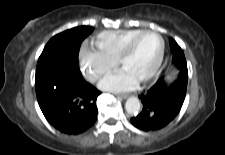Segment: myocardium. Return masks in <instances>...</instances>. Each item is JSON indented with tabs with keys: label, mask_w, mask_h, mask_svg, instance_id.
<instances>
[{
	"label": "myocardium",
	"mask_w": 225,
	"mask_h": 155,
	"mask_svg": "<svg viewBox=\"0 0 225 155\" xmlns=\"http://www.w3.org/2000/svg\"><path fill=\"white\" fill-rule=\"evenodd\" d=\"M146 34H154L156 35L159 40H160V51H159V55L157 58V61L154 65V67L152 68V70L141 80L142 83H146L148 81H150L151 79H153L155 77V75L158 73L163 60H164V55H165V41L163 36L152 29H145V30H141L140 32H138L137 34H135L134 36H132L127 43L124 45V47L122 48L119 56H118V63L120 65L123 64L124 60L129 56V54L132 52L136 42L144 35Z\"/></svg>",
	"instance_id": "obj_1"
}]
</instances>
